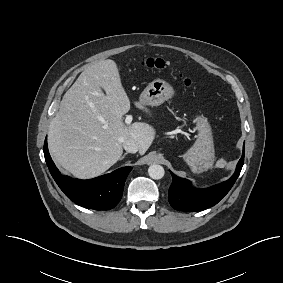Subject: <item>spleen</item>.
Segmentation results:
<instances>
[{"label":"spleen","instance_id":"1","mask_svg":"<svg viewBox=\"0 0 283 283\" xmlns=\"http://www.w3.org/2000/svg\"><path fill=\"white\" fill-rule=\"evenodd\" d=\"M211 166H212V164H210L207 168H209V167H211ZM216 166L219 167V168H223V167L226 166V162H225L223 159H221V160L218 161V163L216 164Z\"/></svg>","mask_w":283,"mask_h":283}]
</instances>
